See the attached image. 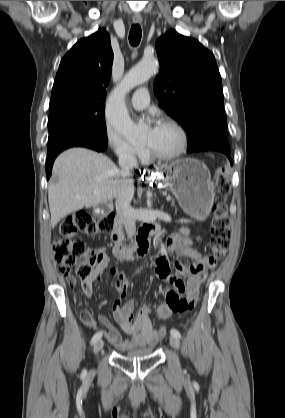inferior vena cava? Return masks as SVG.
Instances as JSON below:
<instances>
[{"label": "inferior vena cava", "instance_id": "obj_1", "mask_svg": "<svg viewBox=\"0 0 285 418\" xmlns=\"http://www.w3.org/2000/svg\"><path fill=\"white\" fill-rule=\"evenodd\" d=\"M119 165L121 167V189L116 197L115 206L119 219L124 224L125 230L132 238L136 232V219L130 205L134 195L133 180L130 178L133 168H137V159L133 152L125 148H119L117 151Z\"/></svg>", "mask_w": 285, "mask_h": 418}]
</instances>
